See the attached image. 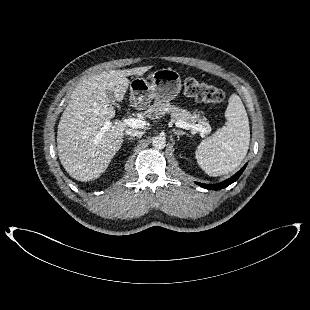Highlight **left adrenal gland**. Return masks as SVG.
<instances>
[{"instance_id": "a2214340", "label": "left adrenal gland", "mask_w": 310, "mask_h": 310, "mask_svg": "<svg viewBox=\"0 0 310 310\" xmlns=\"http://www.w3.org/2000/svg\"><path fill=\"white\" fill-rule=\"evenodd\" d=\"M172 131L177 135L178 140H179L181 135H187L188 136V134L186 132L181 131V130L173 129Z\"/></svg>"}]
</instances>
